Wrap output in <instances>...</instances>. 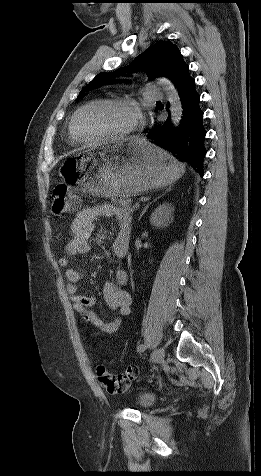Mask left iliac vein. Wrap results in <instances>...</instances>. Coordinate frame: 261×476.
<instances>
[{"mask_svg": "<svg viewBox=\"0 0 261 476\" xmlns=\"http://www.w3.org/2000/svg\"><path fill=\"white\" fill-rule=\"evenodd\" d=\"M164 356H165L164 348H162V347L157 348L151 354V361H152V363H155V364L162 363L164 361Z\"/></svg>", "mask_w": 261, "mask_h": 476, "instance_id": "1", "label": "left iliac vein"}]
</instances>
